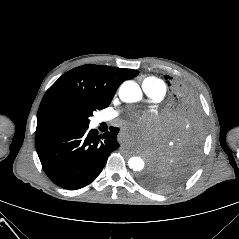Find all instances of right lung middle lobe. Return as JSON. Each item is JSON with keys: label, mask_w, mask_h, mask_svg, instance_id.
I'll use <instances>...</instances> for the list:
<instances>
[{"label": "right lung middle lobe", "mask_w": 239, "mask_h": 239, "mask_svg": "<svg viewBox=\"0 0 239 239\" xmlns=\"http://www.w3.org/2000/svg\"><path fill=\"white\" fill-rule=\"evenodd\" d=\"M91 115H92V113H90V114L88 115V117L91 116ZM88 117H86L85 119H83V120H81V121H79V122H76V123L71 124L68 128H73V127H77V126H81V125H88L89 122H90V120H89Z\"/></svg>", "instance_id": "dd1d6c3e"}]
</instances>
